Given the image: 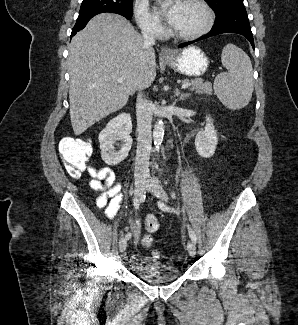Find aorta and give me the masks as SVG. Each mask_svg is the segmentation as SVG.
<instances>
[{"label":"aorta","mask_w":298,"mask_h":325,"mask_svg":"<svg viewBox=\"0 0 298 325\" xmlns=\"http://www.w3.org/2000/svg\"><path fill=\"white\" fill-rule=\"evenodd\" d=\"M162 6H166L164 2H160ZM164 136V126L162 120H158L156 124H154V130H153V140L155 144V150H158Z\"/></svg>","instance_id":"762f6f07"}]
</instances>
